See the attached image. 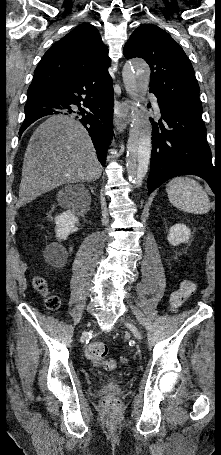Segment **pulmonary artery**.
<instances>
[{
	"mask_svg": "<svg viewBox=\"0 0 221 455\" xmlns=\"http://www.w3.org/2000/svg\"><path fill=\"white\" fill-rule=\"evenodd\" d=\"M154 105H155V110H156V112H157V113H159V112H160V110H159V106L157 105V103H156V102L154 103Z\"/></svg>",
	"mask_w": 221,
	"mask_h": 455,
	"instance_id": "e3ab8cb5",
	"label": "pulmonary artery"
}]
</instances>
